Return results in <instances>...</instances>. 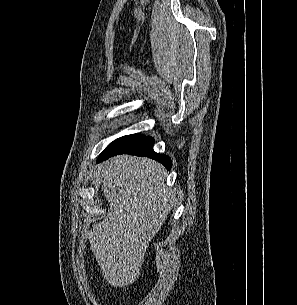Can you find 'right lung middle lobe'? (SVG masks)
<instances>
[{"label":"right lung middle lobe","instance_id":"obj_1","mask_svg":"<svg viewBox=\"0 0 297 305\" xmlns=\"http://www.w3.org/2000/svg\"><path fill=\"white\" fill-rule=\"evenodd\" d=\"M143 137L144 135L141 134L123 136L121 138L114 140L112 143H110L107 146V148H122V147L132 146L133 144L141 140Z\"/></svg>","mask_w":297,"mask_h":305}]
</instances>
